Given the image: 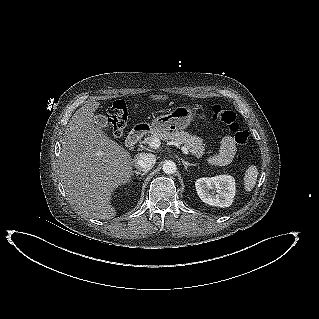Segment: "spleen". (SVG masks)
<instances>
[{
	"label": "spleen",
	"instance_id": "1",
	"mask_svg": "<svg viewBox=\"0 0 319 319\" xmlns=\"http://www.w3.org/2000/svg\"><path fill=\"white\" fill-rule=\"evenodd\" d=\"M258 176V169L256 166H250L244 176V187L246 192H250L256 184Z\"/></svg>",
	"mask_w": 319,
	"mask_h": 319
}]
</instances>
